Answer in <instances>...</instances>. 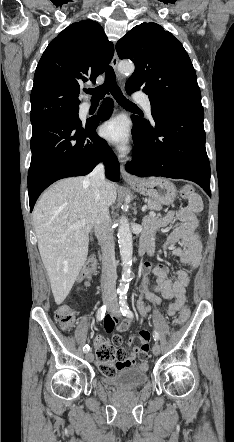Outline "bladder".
<instances>
[{"label": "bladder", "instance_id": "bladder-1", "mask_svg": "<svg viewBox=\"0 0 234 442\" xmlns=\"http://www.w3.org/2000/svg\"><path fill=\"white\" fill-rule=\"evenodd\" d=\"M147 380V369L142 366L122 367L113 374L103 377L107 385L119 389H134L144 385Z\"/></svg>", "mask_w": 234, "mask_h": 442}]
</instances>
